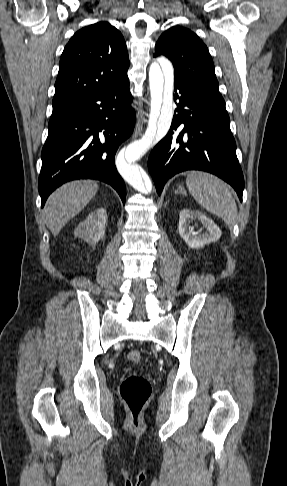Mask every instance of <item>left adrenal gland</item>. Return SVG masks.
Segmentation results:
<instances>
[{
  "label": "left adrenal gland",
  "instance_id": "left-adrenal-gland-1",
  "mask_svg": "<svg viewBox=\"0 0 287 486\" xmlns=\"http://www.w3.org/2000/svg\"><path fill=\"white\" fill-rule=\"evenodd\" d=\"M183 192H184V188L181 185H179V188L178 190L175 191V193H183Z\"/></svg>",
  "mask_w": 287,
  "mask_h": 486
}]
</instances>
